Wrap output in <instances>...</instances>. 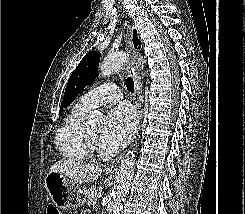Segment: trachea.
Wrapping results in <instances>:
<instances>
[{
  "label": "trachea",
  "mask_w": 245,
  "mask_h": 214,
  "mask_svg": "<svg viewBox=\"0 0 245 214\" xmlns=\"http://www.w3.org/2000/svg\"><path fill=\"white\" fill-rule=\"evenodd\" d=\"M126 87H127V90L131 93L134 92V81L131 77H128L127 80H126Z\"/></svg>",
  "instance_id": "3493384b"
}]
</instances>
